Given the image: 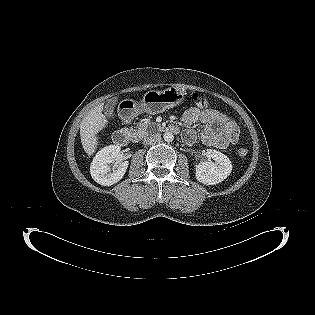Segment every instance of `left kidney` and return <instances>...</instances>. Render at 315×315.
Returning <instances> with one entry per match:
<instances>
[{"instance_id": "left-kidney-1", "label": "left kidney", "mask_w": 315, "mask_h": 315, "mask_svg": "<svg viewBox=\"0 0 315 315\" xmlns=\"http://www.w3.org/2000/svg\"><path fill=\"white\" fill-rule=\"evenodd\" d=\"M206 155L214 162H200L196 166V179L206 185H215L225 180L232 171L230 159L220 151L207 149Z\"/></svg>"}]
</instances>
